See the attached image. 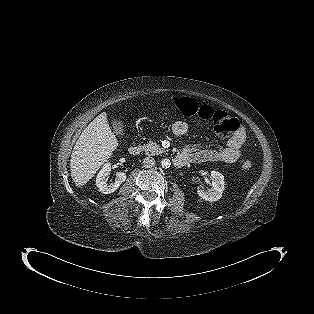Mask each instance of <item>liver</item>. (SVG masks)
I'll return each mask as SVG.
<instances>
[{
  "label": "liver",
  "instance_id": "1",
  "mask_svg": "<svg viewBox=\"0 0 314 314\" xmlns=\"http://www.w3.org/2000/svg\"><path fill=\"white\" fill-rule=\"evenodd\" d=\"M117 147L118 140L110 129L107 114L101 113L83 130L73 148L70 170L76 186L85 185Z\"/></svg>",
  "mask_w": 314,
  "mask_h": 314
}]
</instances>
